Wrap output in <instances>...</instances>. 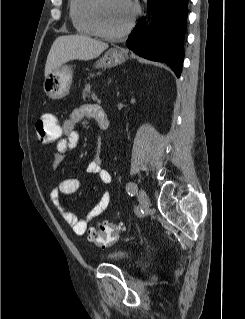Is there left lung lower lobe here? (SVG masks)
I'll use <instances>...</instances> for the list:
<instances>
[{
    "mask_svg": "<svg viewBox=\"0 0 245 319\" xmlns=\"http://www.w3.org/2000/svg\"><path fill=\"white\" fill-rule=\"evenodd\" d=\"M152 9V23L145 18L132 30L127 46L141 57L164 62L180 77L184 60L183 43L186 31L188 0H147Z\"/></svg>",
    "mask_w": 245,
    "mask_h": 319,
    "instance_id": "obj_1",
    "label": "left lung lower lobe"
}]
</instances>
